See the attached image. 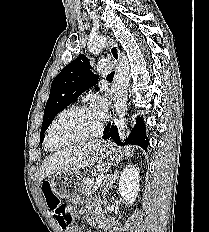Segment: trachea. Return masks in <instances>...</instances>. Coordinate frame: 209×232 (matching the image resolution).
Here are the masks:
<instances>
[{
	"label": "trachea",
	"mask_w": 209,
	"mask_h": 232,
	"mask_svg": "<svg viewBox=\"0 0 209 232\" xmlns=\"http://www.w3.org/2000/svg\"><path fill=\"white\" fill-rule=\"evenodd\" d=\"M114 74H115V72L113 71V72H111L108 76H107V78L108 79H112L113 77H114Z\"/></svg>",
	"instance_id": "trachea-1"
}]
</instances>
